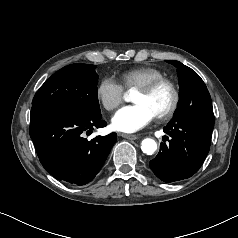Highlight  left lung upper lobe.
Listing matches in <instances>:
<instances>
[{
  "instance_id": "obj_1",
  "label": "left lung upper lobe",
  "mask_w": 238,
  "mask_h": 238,
  "mask_svg": "<svg viewBox=\"0 0 238 238\" xmlns=\"http://www.w3.org/2000/svg\"><path fill=\"white\" fill-rule=\"evenodd\" d=\"M167 62L177 68L180 86V101L171 121L214 124L211 97L200 76L181 62Z\"/></svg>"
}]
</instances>
